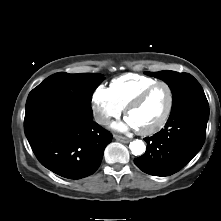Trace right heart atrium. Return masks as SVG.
I'll return each instance as SVG.
<instances>
[{
  "instance_id": "d8ad5b80",
  "label": "right heart atrium",
  "mask_w": 221,
  "mask_h": 221,
  "mask_svg": "<svg viewBox=\"0 0 221 221\" xmlns=\"http://www.w3.org/2000/svg\"><path fill=\"white\" fill-rule=\"evenodd\" d=\"M92 110L95 121L100 125H106L112 118H118L122 113L110 88L104 85L97 86L92 94Z\"/></svg>"
}]
</instances>
